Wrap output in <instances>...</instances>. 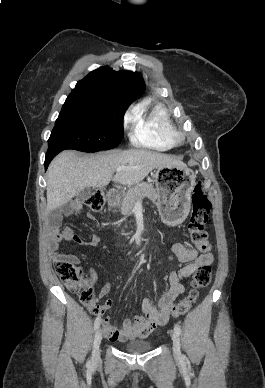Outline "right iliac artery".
I'll return each mask as SVG.
<instances>
[{
	"label": "right iliac artery",
	"instance_id": "1",
	"mask_svg": "<svg viewBox=\"0 0 265 388\" xmlns=\"http://www.w3.org/2000/svg\"><path fill=\"white\" fill-rule=\"evenodd\" d=\"M100 324H101V318L97 317L95 322H94V330H97L99 328ZM90 365H91V362L89 361L88 366H90Z\"/></svg>",
	"mask_w": 265,
	"mask_h": 388
}]
</instances>
